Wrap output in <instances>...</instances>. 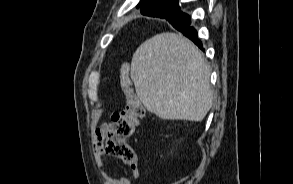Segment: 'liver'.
<instances>
[{
  "mask_svg": "<svg viewBox=\"0 0 293 184\" xmlns=\"http://www.w3.org/2000/svg\"><path fill=\"white\" fill-rule=\"evenodd\" d=\"M210 66L189 39L161 33L132 57L131 79L145 108L161 119L202 121L213 103Z\"/></svg>",
  "mask_w": 293,
  "mask_h": 184,
  "instance_id": "liver-1",
  "label": "liver"
}]
</instances>
